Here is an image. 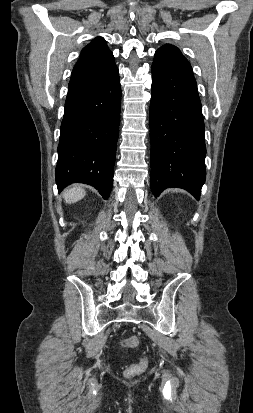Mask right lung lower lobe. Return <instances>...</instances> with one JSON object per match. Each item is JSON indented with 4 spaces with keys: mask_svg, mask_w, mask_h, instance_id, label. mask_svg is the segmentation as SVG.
<instances>
[{
    "mask_svg": "<svg viewBox=\"0 0 253 413\" xmlns=\"http://www.w3.org/2000/svg\"><path fill=\"white\" fill-rule=\"evenodd\" d=\"M120 110L118 68L92 90L66 99L56 167L59 191L79 182L95 187L104 199L109 197Z\"/></svg>",
    "mask_w": 253,
    "mask_h": 413,
    "instance_id": "right-lung-lower-lobe-1",
    "label": "right lung lower lobe"
}]
</instances>
